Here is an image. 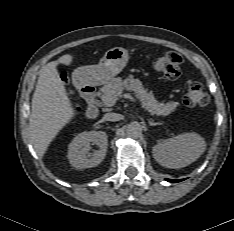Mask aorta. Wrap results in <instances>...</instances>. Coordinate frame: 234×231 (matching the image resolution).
Returning <instances> with one entry per match:
<instances>
[{"instance_id":"aorta-1","label":"aorta","mask_w":234,"mask_h":231,"mask_svg":"<svg viewBox=\"0 0 234 231\" xmlns=\"http://www.w3.org/2000/svg\"><path fill=\"white\" fill-rule=\"evenodd\" d=\"M127 136L130 138H138L142 134L141 125L138 122H132L126 127Z\"/></svg>"}]
</instances>
